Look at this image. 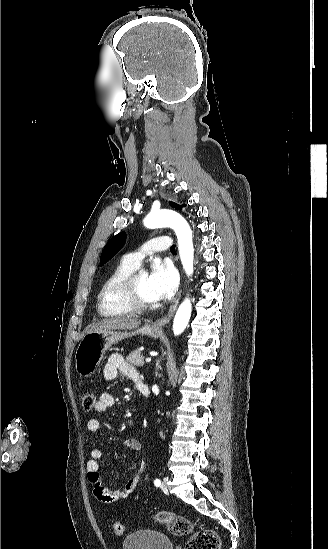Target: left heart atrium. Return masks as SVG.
Segmentation results:
<instances>
[{
    "mask_svg": "<svg viewBox=\"0 0 328 549\" xmlns=\"http://www.w3.org/2000/svg\"><path fill=\"white\" fill-rule=\"evenodd\" d=\"M150 293L155 301L165 300L174 295L179 284L175 267L162 262L156 265L149 274Z\"/></svg>",
    "mask_w": 328,
    "mask_h": 549,
    "instance_id": "1",
    "label": "left heart atrium"
}]
</instances>
